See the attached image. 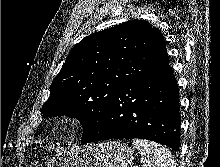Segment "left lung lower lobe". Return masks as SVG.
<instances>
[{
    "mask_svg": "<svg viewBox=\"0 0 220 167\" xmlns=\"http://www.w3.org/2000/svg\"><path fill=\"white\" fill-rule=\"evenodd\" d=\"M178 85L169 57L123 85L115 94L99 131L81 144L117 138H143L178 150Z\"/></svg>",
    "mask_w": 220,
    "mask_h": 167,
    "instance_id": "left-lung-lower-lobe-1",
    "label": "left lung lower lobe"
}]
</instances>
